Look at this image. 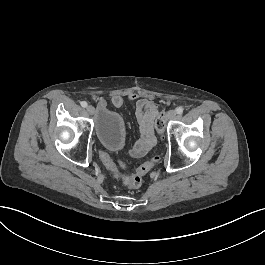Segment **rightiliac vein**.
<instances>
[{"instance_id":"1","label":"right iliac vein","mask_w":265,"mask_h":265,"mask_svg":"<svg viewBox=\"0 0 265 265\" xmlns=\"http://www.w3.org/2000/svg\"><path fill=\"white\" fill-rule=\"evenodd\" d=\"M86 111H87L88 114L93 115L94 112H95V108H94V106L89 105V106L86 107Z\"/></svg>"}]
</instances>
